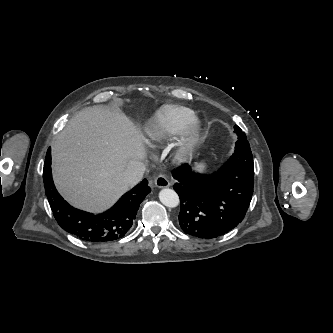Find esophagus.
Masks as SVG:
<instances>
[{
  "mask_svg": "<svg viewBox=\"0 0 333 333\" xmlns=\"http://www.w3.org/2000/svg\"><path fill=\"white\" fill-rule=\"evenodd\" d=\"M154 183L158 188H166V187H169L171 185L169 180L164 175H159L154 180Z\"/></svg>",
  "mask_w": 333,
  "mask_h": 333,
  "instance_id": "esophagus-1",
  "label": "esophagus"
}]
</instances>
